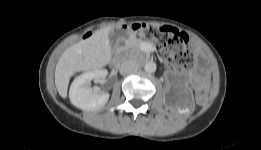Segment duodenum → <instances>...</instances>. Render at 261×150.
<instances>
[{
  "instance_id": "410a0bca",
  "label": "duodenum",
  "mask_w": 261,
  "mask_h": 150,
  "mask_svg": "<svg viewBox=\"0 0 261 150\" xmlns=\"http://www.w3.org/2000/svg\"><path fill=\"white\" fill-rule=\"evenodd\" d=\"M120 29L123 30L124 28L121 26ZM120 60H121V56H120V55H117V56L114 57L112 64H113L114 66H117L118 63L120 62Z\"/></svg>"
}]
</instances>
